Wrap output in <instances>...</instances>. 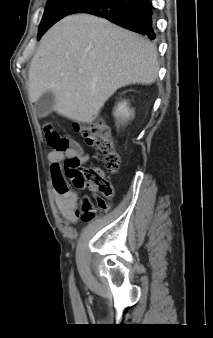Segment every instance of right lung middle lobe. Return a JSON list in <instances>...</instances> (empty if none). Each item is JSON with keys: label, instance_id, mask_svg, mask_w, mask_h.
I'll return each instance as SVG.
<instances>
[{"label": "right lung middle lobe", "instance_id": "1", "mask_svg": "<svg viewBox=\"0 0 213 338\" xmlns=\"http://www.w3.org/2000/svg\"><path fill=\"white\" fill-rule=\"evenodd\" d=\"M92 0H48L42 17L38 39L56 22L67 15L73 14L79 7Z\"/></svg>", "mask_w": 213, "mask_h": 338}]
</instances>
